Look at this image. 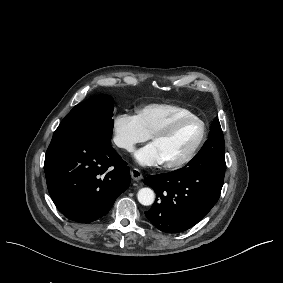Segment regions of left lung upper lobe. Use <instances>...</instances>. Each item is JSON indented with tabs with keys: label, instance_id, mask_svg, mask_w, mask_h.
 Listing matches in <instances>:
<instances>
[{
	"label": "left lung upper lobe",
	"instance_id": "5c2ea615",
	"mask_svg": "<svg viewBox=\"0 0 283 283\" xmlns=\"http://www.w3.org/2000/svg\"><path fill=\"white\" fill-rule=\"evenodd\" d=\"M215 145L218 148L225 150L224 137H223V133L221 130V126H220L218 117L214 119L212 126H211L209 138L204 144V146L206 147H214Z\"/></svg>",
	"mask_w": 283,
	"mask_h": 283
}]
</instances>
